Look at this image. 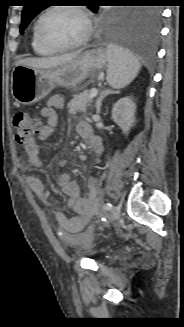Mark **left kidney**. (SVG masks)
Listing matches in <instances>:
<instances>
[{"instance_id":"obj_1","label":"left kidney","mask_w":184,"mask_h":327,"mask_svg":"<svg viewBox=\"0 0 184 327\" xmlns=\"http://www.w3.org/2000/svg\"><path fill=\"white\" fill-rule=\"evenodd\" d=\"M136 105L130 97L119 99L113 107L112 119L124 134H128L135 122Z\"/></svg>"}]
</instances>
